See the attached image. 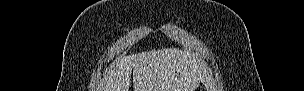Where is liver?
Here are the masks:
<instances>
[{
	"mask_svg": "<svg viewBox=\"0 0 304 91\" xmlns=\"http://www.w3.org/2000/svg\"><path fill=\"white\" fill-rule=\"evenodd\" d=\"M133 69L134 91H195L205 64L188 51L164 48L118 57L98 91H128Z\"/></svg>",
	"mask_w": 304,
	"mask_h": 91,
	"instance_id": "liver-1",
	"label": "liver"
}]
</instances>
